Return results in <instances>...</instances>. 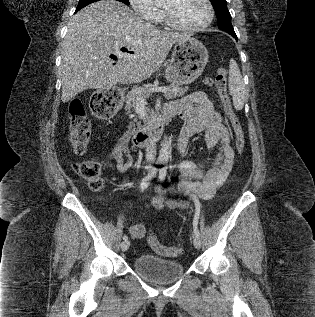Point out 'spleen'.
Segmentation results:
<instances>
[{
    "label": "spleen",
    "instance_id": "3e777b00",
    "mask_svg": "<svg viewBox=\"0 0 315 317\" xmlns=\"http://www.w3.org/2000/svg\"><path fill=\"white\" fill-rule=\"evenodd\" d=\"M229 91L233 98L234 108L241 110L244 107L247 92L240 69L233 58L229 62Z\"/></svg>",
    "mask_w": 315,
    "mask_h": 317
}]
</instances>
